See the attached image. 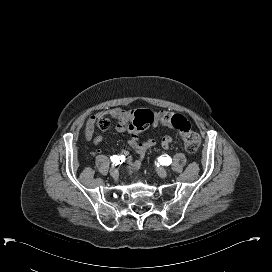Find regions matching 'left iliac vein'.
I'll use <instances>...</instances> for the list:
<instances>
[{"mask_svg":"<svg viewBox=\"0 0 272 272\" xmlns=\"http://www.w3.org/2000/svg\"><path fill=\"white\" fill-rule=\"evenodd\" d=\"M157 172H158V175H159L161 178H166L167 175H168L167 171H166L165 169H163V168L158 169Z\"/></svg>","mask_w":272,"mask_h":272,"instance_id":"left-iliac-vein-1","label":"left iliac vein"}]
</instances>
